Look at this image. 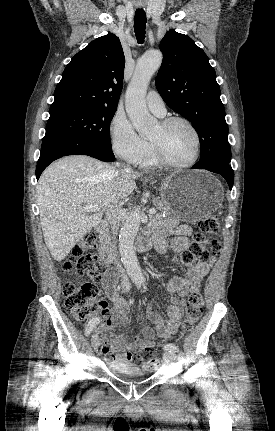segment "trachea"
<instances>
[{
    "label": "trachea",
    "instance_id": "1",
    "mask_svg": "<svg viewBox=\"0 0 275 431\" xmlns=\"http://www.w3.org/2000/svg\"><path fill=\"white\" fill-rule=\"evenodd\" d=\"M146 29V13L143 9H137L134 17V32L139 44L144 43Z\"/></svg>",
    "mask_w": 275,
    "mask_h": 431
}]
</instances>
